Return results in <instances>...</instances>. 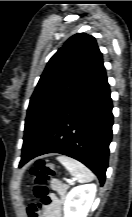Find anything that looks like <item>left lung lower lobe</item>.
Wrapping results in <instances>:
<instances>
[{
  "label": "left lung lower lobe",
  "mask_w": 132,
  "mask_h": 217,
  "mask_svg": "<svg viewBox=\"0 0 132 217\" xmlns=\"http://www.w3.org/2000/svg\"><path fill=\"white\" fill-rule=\"evenodd\" d=\"M112 102L105 68L60 115L42 141L30 152L22 151L21 168L34 157L60 153L90 168L100 184L105 181L112 138Z\"/></svg>",
  "instance_id": "0a47b994"
}]
</instances>
